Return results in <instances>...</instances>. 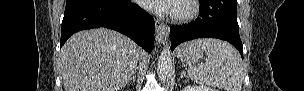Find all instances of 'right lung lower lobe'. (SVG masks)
<instances>
[{
  "label": "right lung lower lobe",
  "instance_id": "1",
  "mask_svg": "<svg viewBox=\"0 0 304 91\" xmlns=\"http://www.w3.org/2000/svg\"><path fill=\"white\" fill-rule=\"evenodd\" d=\"M97 27L116 30L148 52L154 47L153 17L130 0H67L60 47L72 34Z\"/></svg>",
  "mask_w": 304,
  "mask_h": 91
}]
</instances>
